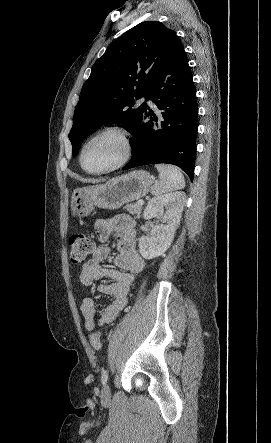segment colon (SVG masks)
<instances>
[{
  "mask_svg": "<svg viewBox=\"0 0 271 443\" xmlns=\"http://www.w3.org/2000/svg\"><path fill=\"white\" fill-rule=\"evenodd\" d=\"M69 246V258L75 265L82 264L95 248L93 240L82 233L71 235L69 238ZM90 342L95 349H100L101 335L97 329H94L90 333Z\"/></svg>",
  "mask_w": 271,
  "mask_h": 443,
  "instance_id": "obj_1",
  "label": "colon"
}]
</instances>
